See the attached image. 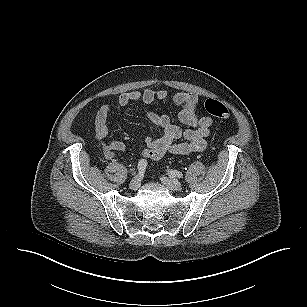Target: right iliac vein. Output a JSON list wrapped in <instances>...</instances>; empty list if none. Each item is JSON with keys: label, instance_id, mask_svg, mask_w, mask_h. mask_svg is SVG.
<instances>
[{"label": "right iliac vein", "instance_id": "63e3f726", "mask_svg": "<svg viewBox=\"0 0 307 307\" xmlns=\"http://www.w3.org/2000/svg\"><path fill=\"white\" fill-rule=\"evenodd\" d=\"M140 186V178L138 175H136L130 182L129 187L132 190H136L138 189V187Z\"/></svg>", "mask_w": 307, "mask_h": 307}]
</instances>
